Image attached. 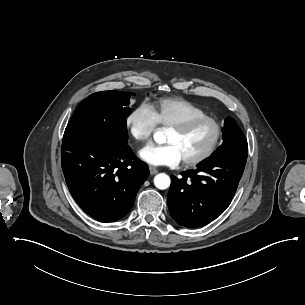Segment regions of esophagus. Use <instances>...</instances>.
Here are the masks:
<instances>
[{
    "mask_svg": "<svg viewBox=\"0 0 305 305\" xmlns=\"http://www.w3.org/2000/svg\"><path fill=\"white\" fill-rule=\"evenodd\" d=\"M149 172L151 175H154L158 172V170L154 166H149Z\"/></svg>",
    "mask_w": 305,
    "mask_h": 305,
    "instance_id": "obj_1",
    "label": "esophagus"
}]
</instances>
